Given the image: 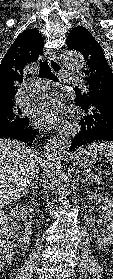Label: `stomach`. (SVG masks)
I'll return each mask as SVG.
<instances>
[{
	"label": "stomach",
	"mask_w": 113,
	"mask_h": 279,
	"mask_svg": "<svg viewBox=\"0 0 113 279\" xmlns=\"http://www.w3.org/2000/svg\"><path fill=\"white\" fill-rule=\"evenodd\" d=\"M97 161L98 151L90 146L79 148L73 156V162L79 168L92 167Z\"/></svg>",
	"instance_id": "obj_1"
}]
</instances>
